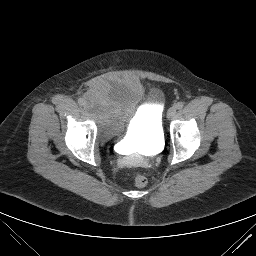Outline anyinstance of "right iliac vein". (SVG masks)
I'll return each instance as SVG.
<instances>
[{"label": "right iliac vein", "mask_w": 256, "mask_h": 256, "mask_svg": "<svg viewBox=\"0 0 256 256\" xmlns=\"http://www.w3.org/2000/svg\"><path fill=\"white\" fill-rule=\"evenodd\" d=\"M84 108H85L86 110H89V109L91 108V105H90L89 103H85V104H84Z\"/></svg>", "instance_id": "63e3f726"}]
</instances>
